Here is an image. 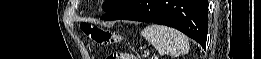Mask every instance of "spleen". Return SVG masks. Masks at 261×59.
<instances>
[{"label": "spleen", "instance_id": "1", "mask_svg": "<svg viewBox=\"0 0 261 59\" xmlns=\"http://www.w3.org/2000/svg\"><path fill=\"white\" fill-rule=\"evenodd\" d=\"M141 36L151 43L160 55L178 57L189 52L188 39L173 28L151 24L141 31Z\"/></svg>", "mask_w": 261, "mask_h": 59}]
</instances>
